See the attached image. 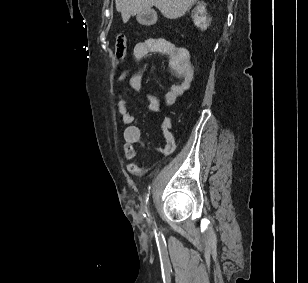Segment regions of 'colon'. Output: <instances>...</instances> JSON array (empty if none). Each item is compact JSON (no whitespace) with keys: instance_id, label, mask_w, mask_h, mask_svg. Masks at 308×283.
I'll use <instances>...</instances> for the list:
<instances>
[{"instance_id":"colon-1","label":"colon","mask_w":308,"mask_h":283,"mask_svg":"<svg viewBox=\"0 0 308 283\" xmlns=\"http://www.w3.org/2000/svg\"><path fill=\"white\" fill-rule=\"evenodd\" d=\"M127 48V38L125 35H119L116 40L115 54L117 59H123Z\"/></svg>"}]
</instances>
